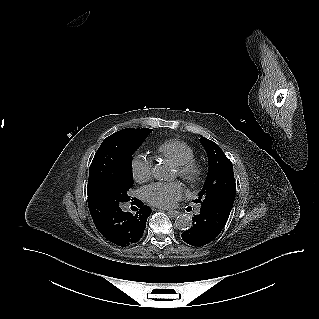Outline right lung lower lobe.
Returning a JSON list of instances; mask_svg holds the SVG:
<instances>
[{"label":"right lung lower lobe","instance_id":"right-lung-lower-lobe-1","mask_svg":"<svg viewBox=\"0 0 319 319\" xmlns=\"http://www.w3.org/2000/svg\"><path fill=\"white\" fill-rule=\"evenodd\" d=\"M126 202L138 208L136 214L121 209ZM88 207L98 231L106 239L122 247L140 240L146 228L147 217L151 214L150 207L136 198L124 199L104 192L88 195Z\"/></svg>","mask_w":319,"mask_h":319}]
</instances>
